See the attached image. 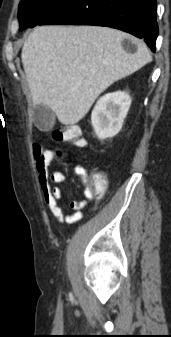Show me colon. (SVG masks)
<instances>
[{"label": "colon", "mask_w": 171, "mask_h": 337, "mask_svg": "<svg viewBox=\"0 0 171 337\" xmlns=\"http://www.w3.org/2000/svg\"><path fill=\"white\" fill-rule=\"evenodd\" d=\"M52 138L57 143H66L73 146H85L86 141L82 135V131L75 125L66 126L63 129L55 130ZM89 185L93 194L97 198H101L107 190V179L101 173H93L87 176Z\"/></svg>", "instance_id": "colon-1"}]
</instances>
